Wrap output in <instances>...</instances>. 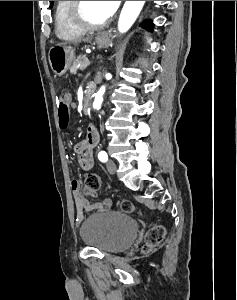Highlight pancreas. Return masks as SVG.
Masks as SVG:
<instances>
[{"instance_id": "1", "label": "pancreas", "mask_w": 237, "mask_h": 300, "mask_svg": "<svg viewBox=\"0 0 237 300\" xmlns=\"http://www.w3.org/2000/svg\"><path fill=\"white\" fill-rule=\"evenodd\" d=\"M86 60L88 61L86 55H79V57H77L76 61H74L73 65L70 69L71 73H77V71H83V69H84L83 62Z\"/></svg>"}]
</instances>
